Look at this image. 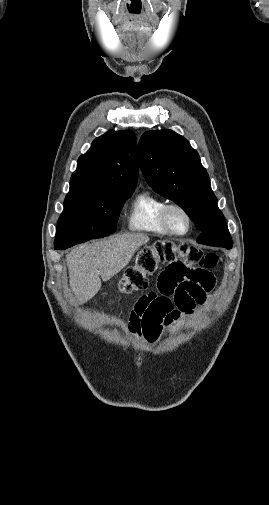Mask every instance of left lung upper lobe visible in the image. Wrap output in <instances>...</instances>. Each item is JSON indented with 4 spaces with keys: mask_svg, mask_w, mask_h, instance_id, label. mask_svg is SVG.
<instances>
[{
    "mask_svg": "<svg viewBox=\"0 0 269 505\" xmlns=\"http://www.w3.org/2000/svg\"><path fill=\"white\" fill-rule=\"evenodd\" d=\"M139 159L152 189L178 204L202 231L198 243L232 248L207 171L184 137L171 130L145 132L139 140Z\"/></svg>",
    "mask_w": 269,
    "mask_h": 505,
    "instance_id": "5c2ea615",
    "label": "left lung upper lobe"
}]
</instances>
